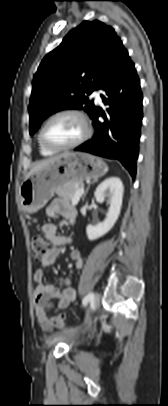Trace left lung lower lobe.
<instances>
[{
    "label": "left lung lower lobe",
    "instance_id": "1",
    "mask_svg": "<svg viewBox=\"0 0 168 406\" xmlns=\"http://www.w3.org/2000/svg\"><path fill=\"white\" fill-rule=\"evenodd\" d=\"M98 89L104 91L101 97L103 103L109 106V119L101 108L96 107L91 116L95 134L75 150L117 159L134 178L143 118V97L139 78L126 49L118 55ZM100 116L104 122L98 120Z\"/></svg>",
    "mask_w": 168,
    "mask_h": 406
}]
</instances>
